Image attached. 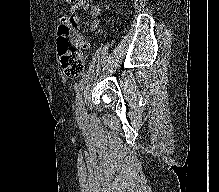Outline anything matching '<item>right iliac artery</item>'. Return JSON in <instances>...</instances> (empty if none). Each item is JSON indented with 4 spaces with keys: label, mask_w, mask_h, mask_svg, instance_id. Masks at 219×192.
I'll list each match as a JSON object with an SVG mask.
<instances>
[{
    "label": "right iliac artery",
    "mask_w": 219,
    "mask_h": 192,
    "mask_svg": "<svg viewBox=\"0 0 219 192\" xmlns=\"http://www.w3.org/2000/svg\"><path fill=\"white\" fill-rule=\"evenodd\" d=\"M82 90H83V83H79L76 87H75V91H76V113L79 119H81V108H82Z\"/></svg>",
    "instance_id": "obj_1"
}]
</instances>
